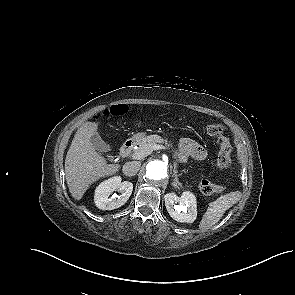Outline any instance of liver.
<instances>
[{
  "mask_svg": "<svg viewBox=\"0 0 295 295\" xmlns=\"http://www.w3.org/2000/svg\"><path fill=\"white\" fill-rule=\"evenodd\" d=\"M94 128L77 132L65 159V177L72 197L80 200L89 186L119 171L120 165L107 164L91 143Z\"/></svg>",
  "mask_w": 295,
  "mask_h": 295,
  "instance_id": "1",
  "label": "liver"
}]
</instances>
